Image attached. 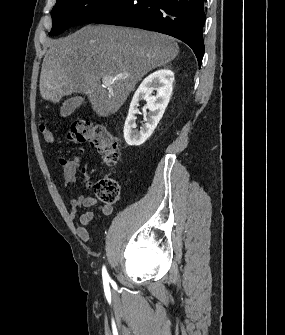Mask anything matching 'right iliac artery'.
I'll return each mask as SVG.
<instances>
[{
  "label": "right iliac artery",
  "mask_w": 285,
  "mask_h": 335,
  "mask_svg": "<svg viewBox=\"0 0 285 335\" xmlns=\"http://www.w3.org/2000/svg\"><path fill=\"white\" fill-rule=\"evenodd\" d=\"M102 277H103L104 282H107V281L110 280V277H109L105 267H103V269H102Z\"/></svg>",
  "instance_id": "right-iliac-artery-1"
}]
</instances>
